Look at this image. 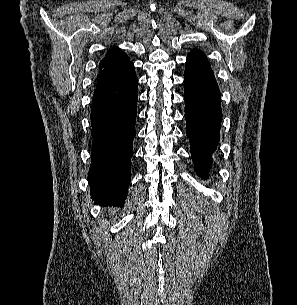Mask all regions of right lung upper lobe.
<instances>
[{
    "mask_svg": "<svg viewBox=\"0 0 297 305\" xmlns=\"http://www.w3.org/2000/svg\"><path fill=\"white\" fill-rule=\"evenodd\" d=\"M129 64L131 63L126 53L118 47L112 48L99 63L100 72L97 81L116 74Z\"/></svg>",
    "mask_w": 297,
    "mask_h": 305,
    "instance_id": "1",
    "label": "right lung upper lobe"
}]
</instances>
